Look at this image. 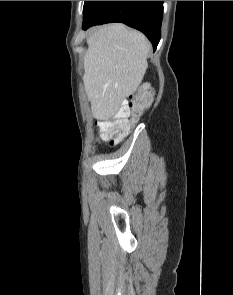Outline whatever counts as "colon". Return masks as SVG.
<instances>
[{"label":"colon","mask_w":233,"mask_h":295,"mask_svg":"<svg viewBox=\"0 0 233 295\" xmlns=\"http://www.w3.org/2000/svg\"><path fill=\"white\" fill-rule=\"evenodd\" d=\"M151 97V91L147 86L138 88L112 118L97 123L101 136L112 144L119 143L130 131L131 122L128 117L135 120L142 115L150 105Z\"/></svg>","instance_id":"1"}]
</instances>
